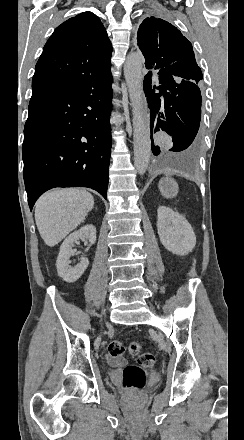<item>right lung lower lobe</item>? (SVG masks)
I'll list each match as a JSON object with an SVG mask.
<instances>
[{
	"label": "right lung lower lobe",
	"mask_w": 244,
	"mask_h": 440,
	"mask_svg": "<svg viewBox=\"0 0 244 440\" xmlns=\"http://www.w3.org/2000/svg\"><path fill=\"white\" fill-rule=\"evenodd\" d=\"M111 83L108 69L33 90L22 146L30 210L54 187H88L107 199Z\"/></svg>",
	"instance_id": "98d812e1"
}]
</instances>
